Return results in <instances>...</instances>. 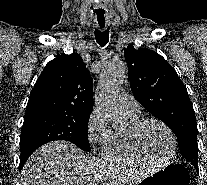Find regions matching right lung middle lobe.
Returning a JSON list of instances; mask_svg holds the SVG:
<instances>
[{"label":"right lung middle lobe","mask_w":207,"mask_h":185,"mask_svg":"<svg viewBox=\"0 0 207 185\" xmlns=\"http://www.w3.org/2000/svg\"><path fill=\"white\" fill-rule=\"evenodd\" d=\"M90 116L55 112L26 113L20 135V170L29 156L41 145L54 140H67L90 151L88 121Z\"/></svg>","instance_id":"right-lung-middle-lobe-1"}]
</instances>
